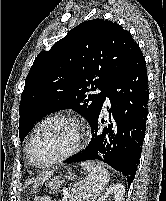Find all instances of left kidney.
Here are the masks:
<instances>
[{
    "label": "left kidney",
    "mask_w": 166,
    "mask_h": 201,
    "mask_svg": "<svg viewBox=\"0 0 166 201\" xmlns=\"http://www.w3.org/2000/svg\"><path fill=\"white\" fill-rule=\"evenodd\" d=\"M110 194H114L115 201H124L125 187L122 184H116L108 188L100 197L99 201H105Z\"/></svg>",
    "instance_id": "5707ae66"
}]
</instances>
